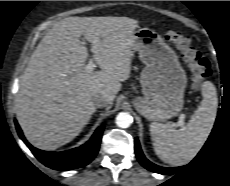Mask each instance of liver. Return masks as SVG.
Instances as JSON below:
<instances>
[{
  "instance_id": "6515ba94",
  "label": "liver",
  "mask_w": 230,
  "mask_h": 186,
  "mask_svg": "<svg viewBox=\"0 0 230 186\" xmlns=\"http://www.w3.org/2000/svg\"><path fill=\"white\" fill-rule=\"evenodd\" d=\"M138 21L128 17H68L56 22L34 50L21 77L15 111L27 140L42 150L72 141L104 95L110 109L130 77ZM101 71L87 73V48Z\"/></svg>"
}]
</instances>
